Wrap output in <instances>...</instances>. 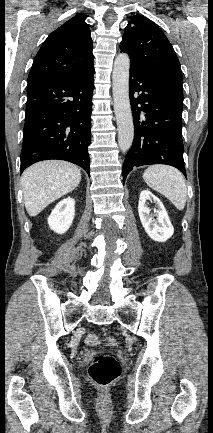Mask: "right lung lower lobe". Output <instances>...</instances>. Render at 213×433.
I'll return each instance as SVG.
<instances>
[{
    "label": "right lung lower lobe",
    "mask_w": 213,
    "mask_h": 433,
    "mask_svg": "<svg viewBox=\"0 0 213 433\" xmlns=\"http://www.w3.org/2000/svg\"><path fill=\"white\" fill-rule=\"evenodd\" d=\"M94 65L63 80L28 81L21 173L48 159L70 161L90 175Z\"/></svg>",
    "instance_id": "right-lung-lower-lobe-1"
}]
</instances>
